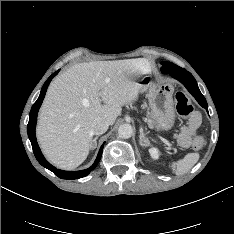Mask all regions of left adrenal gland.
I'll return each mask as SVG.
<instances>
[{
  "mask_svg": "<svg viewBox=\"0 0 234 234\" xmlns=\"http://www.w3.org/2000/svg\"><path fill=\"white\" fill-rule=\"evenodd\" d=\"M139 139H140V145L142 147H147L150 145V141L149 139L145 136L143 129L140 128V135H139Z\"/></svg>",
  "mask_w": 234,
  "mask_h": 234,
  "instance_id": "obj_1",
  "label": "left adrenal gland"
}]
</instances>
